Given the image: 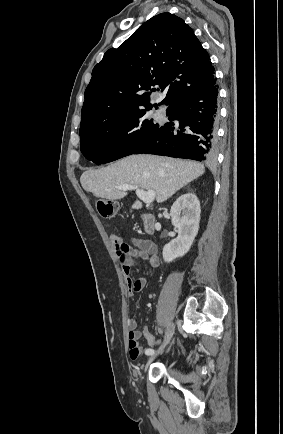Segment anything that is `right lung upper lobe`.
I'll use <instances>...</instances> for the list:
<instances>
[{"mask_svg": "<svg viewBox=\"0 0 283 434\" xmlns=\"http://www.w3.org/2000/svg\"><path fill=\"white\" fill-rule=\"evenodd\" d=\"M213 74L209 54L193 30L174 14L156 15L118 48L109 49L94 67L85 90L80 130L127 111L152 107L153 86L166 92L158 105L170 106L215 84Z\"/></svg>", "mask_w": 283, "mask_h": 434, "instance_id": "1", "label": "right lung upper lobe"}]
</instances>
